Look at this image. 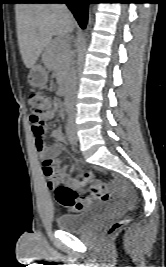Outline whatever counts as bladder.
Listing matches in <instances>:
<instances>
[{"mask_svg":"<svg viewBox=\"0 0 166 267\" xmlns=\"http://www.w3.org/2000/svg\"><path fill=\"white\" fill-rule=\"evenodd\" d=\"M98 213L99 211L89 210L81 213L63 214L57 218L56 224L63 231H81L97 222L99 218Z\"/></svg>","mask_w":166,"mask_h":267,"instance_id":"bladder-1","label":"bladder"}]
</instances>
